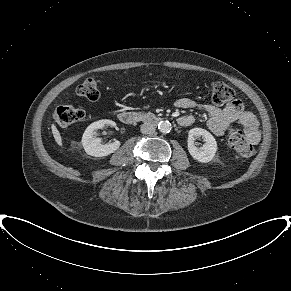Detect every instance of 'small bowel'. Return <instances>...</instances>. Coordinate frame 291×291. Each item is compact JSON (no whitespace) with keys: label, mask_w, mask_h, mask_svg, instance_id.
Segmentation results:
<instances>
[{"label":"small bowel","mask_w":291,"mask_h":291,"mask_svg":"<svg viewBox=\"0 0 291 291\" xmlns=\"http://www.w3.org/2000/svg\"><path fill=\"white\" fill-rule=\"evenodd\" d=\"M176 107L181 109L200 108L208 113V129L215 135H223L232 122L239 121L245 128L246 136L252 144L260 140L259 123L256 116L246 111L243 103L239 100L229 102L225 107L219 108L211 104H199L189 98H180L175 102ZM194 122L192 115L186 114L178 118L181 126H190Z\"/></svg>","instance_id":"c3829d8e"}]
</instances>
